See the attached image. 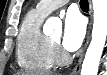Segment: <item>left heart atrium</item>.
Here are the masks:
<instances>
[{
	"label": "left heart atrium",
	"instance_id": "39dd6f15",
	"mask_svg": "<svg viewBox=\"0 0 107 75\" xmlns=\"http://www.w3.org/2000/svg\"><path fill=\"white\" fill-rule=\"evenodd\" d=\"M86 33L83 18L75 11H69L64 22L62 38L63 47L69 51H76L82 44Z\"/></svg>",
	"mask_w": 107,
	"mask_h": 75
}]
</instances>
